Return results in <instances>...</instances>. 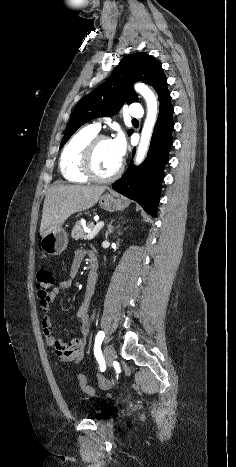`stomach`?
<instances>
[{
  "instance_id": "stomach-1",
  "label": "stomach",
  "mask_w": 236,
  "mask_h": 467,
  "mask_svg": "<svg viewBox=\"0 0 236 467\" xmlns=\"http://www.w3.org/2000/svg\"><path fill=\"white\" fill-rule=\"evenodd\" d=\"M99 206L109 212L122 211L125 208L124 202L120 198H115L110 194H104L99 199ZM68 244V235L66 231L58 226L48 232L41 240V248L48 255H59Z\"/></svg>"
}]
</instances>
